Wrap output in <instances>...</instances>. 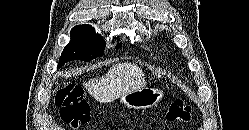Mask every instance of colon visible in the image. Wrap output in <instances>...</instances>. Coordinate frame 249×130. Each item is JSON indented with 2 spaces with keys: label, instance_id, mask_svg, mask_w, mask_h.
<instances>
[{
  "label": "colon",
  "instance_id": "1",
  "mask_svg": "<svg viewBox=\"0 0 249 130\" xmlns=\"http://www.w3.org/2000/svg\"><path fill=\"white\" fill-rule=\"evenodd\" d=\"M55 103L65 123L73 128L87 125L90 122V107L83 97L80 86L69 84L57 90ZM191 118V107L182 99L175 100L169 107L167 120L170 122H188Z\"/></svg>",
  "mask_w": 249,
  "mask_h": 130
}]
</instances>
